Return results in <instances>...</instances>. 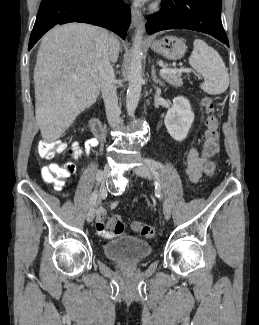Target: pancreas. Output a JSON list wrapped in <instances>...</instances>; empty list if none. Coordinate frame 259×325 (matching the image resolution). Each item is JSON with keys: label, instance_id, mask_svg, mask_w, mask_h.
<instances>
[{"label": "pancreas", "instance_id": "cf45deb5", "mask_svg": "<svg viewBox=\"0 0 259 325\" xmlns=\"http://www.w3.org/2000/svg\"><path fill=\"white\" fill-rule=\"evenodd\" d=\"M182 73H162L161 77L170 85L174 87H181L183 85Z\"/></svg>", "mask_w": 259, "mask_h": 325}]
</instances>
